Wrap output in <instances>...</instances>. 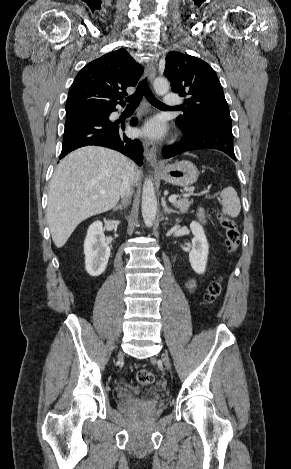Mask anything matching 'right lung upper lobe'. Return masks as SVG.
Wrapping results in <instances>:
<instances>
[{
    "mask_svg": "<svg viewBox=\"0 0 291 469\" xmlns=\"http://www.w3.org/2000/svg\"><path fill=\"white\" fill-rule=\"evenodd\" d=\"M142 71L125 49L90 62L77 74L69 90L66 115L96 106L124 105L126 88L136 85Z\"/></svg>",
    "mask_w": 291,
    "mask_h": 469,
    "instance_id": "obj_1",
    "label": "right lung upper lobe"
}]
</instances>
